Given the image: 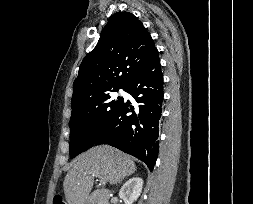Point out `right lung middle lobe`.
I'll use <instances>...</instances> for the list:
<instances>
[{
    "label": "right lung middle lobe",
    "mask_w": 253,
    "mask_h": 204,
    "mask_svg": "<svg viewBox=\"0 0 253 204\" xmlns=\"http://www.w3.org/2000/svg\"><path fill=\"white\" fill-rule=\"evenodd\" d=\"M116 88L111 91H118ZM123 89V88H122ZM122 97L112 100L109 92L72 108L70 119V157L88 150L98 140L118 111Z\"/></svg>",
    "instance_id": "right-lung-middle-lobe-1"
}]
</instances>
